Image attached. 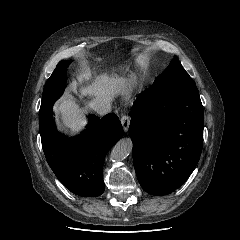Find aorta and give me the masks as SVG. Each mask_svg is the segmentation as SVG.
Returning a JSON list of instances; mask_svg holds the SVG:
<instances>
[{"label":"aorta","mask_w":240,"mask_h":240,"mask_svg":"<svg viewBox=\"0 0 240 240\" xmlns=\"http://www.w3.org/2000/svg\"><path fill=\"white\" fill-rule=\"evenodd\" d=\"M132 151V141L129 138L121 139L111 151V159L121 161L127 158Z\"/></svg>","instance_id":"obj_1"}]
</instances>
